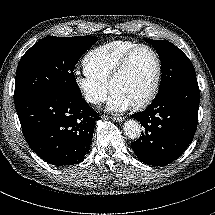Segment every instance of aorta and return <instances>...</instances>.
Segmentation results:
<instances>
[{
  "mask_svg": "<svg viewBox=\"0 0 215 215\" xmlns=\"http://www.w3.org/2000/svg\"><path fill=\"white\" fill-rule=\"evenodd\" d=\"M125 135L130 140L138 139L141 135V126L135 120H129L125 123L124 126Z\"/></svg>",
  "mask_w": 215,
  "mask_h": 215,
  "instance_id": "aorta-1",
  "label": "aorta"
}]
</instances>
